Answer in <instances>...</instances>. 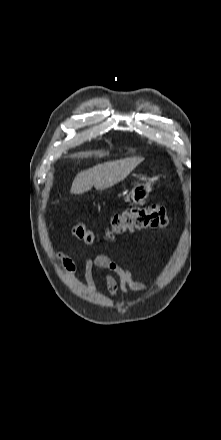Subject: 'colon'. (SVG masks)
I'll list each match as a JSON object with an SVG mask.
<instances>
[{"label":"colon","mask_w":221,"mask_h":440,"mask_svg":"<svg viewBox=\"0 0 221 440\" xmlns=\"http://www.w3.org/2000/svg\"><path fill=\"white\" fill-rule=\"evenodd\" d=\"M169 224V216L165 209L159 205L146 207H133L122 213L116 214L101 233L88 228L84 223H75L71 231L78 239L92 244L99 237L113 239L126 232L142 229H163Z\"/></svg>","instance_id":"colon-1"}]
</instances>
